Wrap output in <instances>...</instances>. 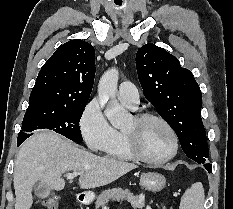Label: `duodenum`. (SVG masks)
Listing matches in <instances>:
<instances>
[{"mask_svg": "<svg viewBox=\"0 0 233 209\" xmlns=\"http://www.w3.org/2000/svg\"><path fill=\"white\" fill-rule=\"evenodd\" d=\"M78 201L80 202V203H82V204H85L86 203V201H87V197L85 196V195H79L78 196Z\"/></svg>", "mask_w": 233, "mask_h": 209, "instance_id": "1", "label": "duodenum"}]
</instances>
